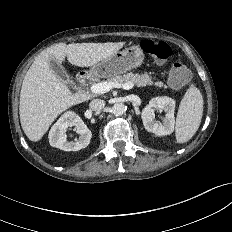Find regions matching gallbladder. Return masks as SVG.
Returning <instances> with one entry per match:
<instances>
[{
  "label": "gallbladder",
  "instance_id": "1",
  "mask_svg": "<svg viewBox=\"0 0 232 232\" xmlns=\"http://www.w3.org/2000/svg\"><path fill=\"white\" fill-rule=\"evenodd\" d=\"M49 66L59 80L69 85L72 83L70 76L67 74L60 61L56 60L55 58H51L49 60Z\"/></svg>",
  "mask_w": 232,
  "mask_h": 232
}]
</instances>
